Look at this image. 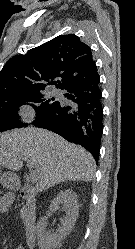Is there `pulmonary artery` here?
<instances>
[{"instance_id":"e3ab8cb5","label":"pulmonary artery","mask_w":135,"mask_h":249,"mask_svg":"<svg viewBox=\"0 0 135 249\" xmlns=\"http://www.w3.org/2000/svg\"><path fill=\"white\" fill-rule=\"evenodd\" d=\"M52 94L55 95V96H58L60 94V92L58 90H53Z\"/></svg>"}]
</instances>
